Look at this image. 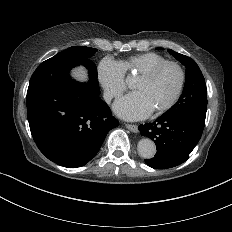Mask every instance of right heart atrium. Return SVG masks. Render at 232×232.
I'll return each instance as SVG.
<instances>
[{
  "mask_svg": "<svg viewBox=\"0 0 232 232\" xmlns=\"http://www.w3.org/2000/svg\"><path fill=\"white\" fill-rule=\"evenodd\" d=\"M96 77L108 100L119 96L125 90L120 64L110 57H103L98 62Z\"/></svg>",
  "mask_w": 232,
  "mask_h": 232,
  "instance_id": "right-heart-atrium-1",
  "label": "right heart atrium"
}]
</instances>
